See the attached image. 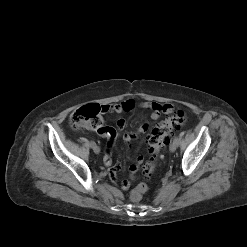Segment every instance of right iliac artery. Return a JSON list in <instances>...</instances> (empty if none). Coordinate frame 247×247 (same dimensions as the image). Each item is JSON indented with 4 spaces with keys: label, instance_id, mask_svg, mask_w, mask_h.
I'll list each match as a JSON object with an SVG mask.
<instances>
[{
    "label": "right iliac artery",
    "instance_id": "right-iliac-artery-1",
    "mask_svg": "<svg viewBox=\"0 0 247 247\" xmlns=\"http://www.w3.org/2000/svg\"><path fill=\"white\" fill-rule=\"evenodd\" d=\"M96 143L94 141L90 142L91 147L94 146Z\"/></svg>",
    "mask_w": 247,
    "mask_h": 247
}]
</instances>
